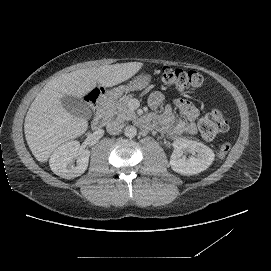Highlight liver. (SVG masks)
Returning <instances> with one entry per match:
<instances>
[{
    "label": "liver",
    "mask_w": 271,
    "mask_h": 271,
    "mask_svg": "<svg viewBox=\"0 0 271 271\" xmlns=\"http://www.w3.org/2000/svg\"><path fill=\"white\" fill-rule=\"evenodd\" d=\"M142 64L117 63L101 67H86L52 78L31 103L24 121L28 147L39 162H45L51 152L66 140L83 134L87 122L73 117L60 100L64 95L81 98L96 84L110 87L129 79Z\"/></svg>",
    "instance_id": "liver-1"
}]
</instances>
